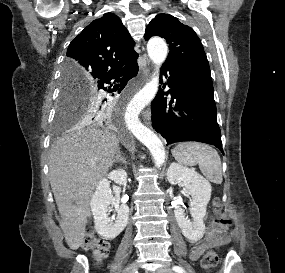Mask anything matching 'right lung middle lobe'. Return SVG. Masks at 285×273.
<instances>
[{
  "label": "right lung middle lobe",
  "mask_w": 285,
  "mask_h": 273,
  "mask_svg": "<svg viewBox=\"0 0 285 273\" xmlns=\"http://www.w3.org/2000/svg\"><path fill=\"white\" fill-rule=\"evenodd\" d=\"M104 101L96 93L93 84L83 82L63 70L56 126L62 128L75 120L99 119Z\"/></svg>",
  "instance_id": "dd1d6c3e"
}]
</instances>
